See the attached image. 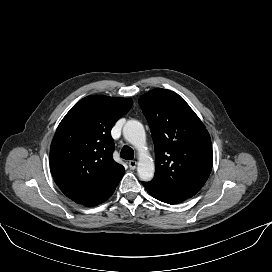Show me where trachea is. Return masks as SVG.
I'll return each instance as SVG.
<instances>
[{
	"instance_id": "trachea-1",
	"label": "trachea",
	"mask_w": 272,
	"mask_h": 272,
	"mask_svg": "<svg viewBox=\"0 0 272 272\" xmlns=\"http://www.w3.org/2000/svg\"><path fill=\"white\" fill-rule=\"evenodd\" d=\"M121 158L126 160H132L134 157V151L131 147L125 146L120 153Z\"/></svg>"
}]
</instances>
